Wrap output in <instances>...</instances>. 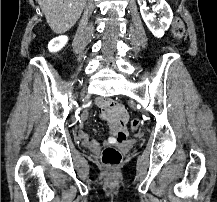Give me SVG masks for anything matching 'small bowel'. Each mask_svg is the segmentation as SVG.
Returning a JSON list of instances; mask_svg holds the SVG:
<instances>
[{
  "instance_id": "c3829d8e",
  "label": "small bowel",
  "mask_w": 217,
  "mask_h": 202,
  "mask_svg": "<svg viewBox=\"0 0 217 202\" xmlns=\"http://www.w3.org/2000/svg\"><path fill=\"white\" fill-rule=\"evenodd\" d=\"M96 106L97 109H100L101 117L105 118V121H110L112 135L105 143L118 146L125 144L128 138L126 124L129 116L125 109L123 112V104H119V101H96ZM119 113L122 114L119 115ZM85 118L86 114L83 115V119ZM78 136L86 147L92 150H98L100 148V142L96 139H90L82 128L78 129Z\"/></svg>"
}]
</instances>
